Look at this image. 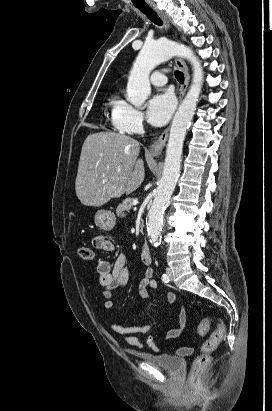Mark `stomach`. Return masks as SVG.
I'll return each mask as SVG.
<instances>
[{"instance_id":"obj_1","label":"stomach","mask_w":272,"mask_h":411,"mask_svg":"<svg viewBox=\"0 0 272 411\" xmlns=\"http://www.w3.org/2000/svg\"><path fill=\"white\" fill-rule=\"evenodd\" d=\"M95 224L104 231H110L116 224V217L113 212L108 210H99L95 214Z\"/></svg>"}]
</instances>
